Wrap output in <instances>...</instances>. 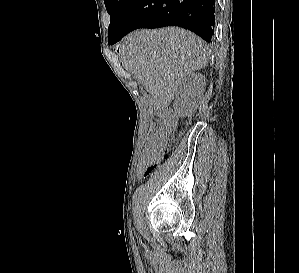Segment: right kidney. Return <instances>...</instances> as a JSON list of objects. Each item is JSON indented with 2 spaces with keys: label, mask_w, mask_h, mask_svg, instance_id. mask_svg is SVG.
Returning a JSON list of instances; mask_svg holds the SVG:
<instances>
[{
  "label": "right kidney",
  "mask_w": 299,
  "mask_h": 273,
  "mask_svg": "<svg viewBox=\"0 0 299 273\" xmlns=\"http://www.w3.org/2000/svg\"><path fill=\"white\" fill-rule=\"evenodd\" d=\"M205 84L206 79L200 73H192L180 83L174 101L179 116H190L195 112L205 90Z\"/></svg>",
  "instance_id": "1"
}]
</instances>
